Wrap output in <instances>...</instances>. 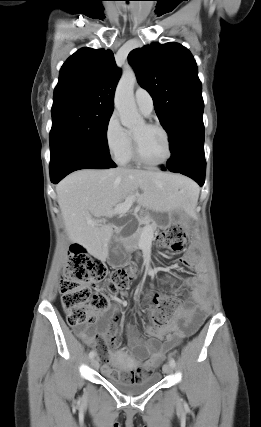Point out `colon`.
Segmentation results:
<instances>
[{
	"instance_id": "1",
	"label": "colon",
	"mask_w": 261,
	"mask_h": 427,
	"mask_svg": "<svg viewBox=\"0 0 261 427\" xmlns=\"http://www.w3.org/2000/svg\"><path fill=\"white\" fill-rule=\"evenodd\" d=\"M158 242L172 251L183 250L187 233L179 226H172L159 233ZM134 274L132 266L116 268L108 272L106 265L90 256L78 244L71 247L69 261L60 281L61 303L70 326L94 324L109 308V300L129 285ZM105 282L103 287L96 286ZM182 305L176 294H157L151 311L153 327L158 334L168 326Z\"/></svg>"
}]
</instances>
